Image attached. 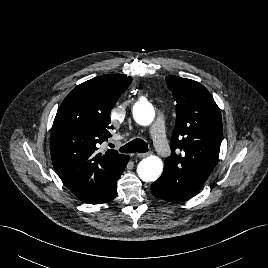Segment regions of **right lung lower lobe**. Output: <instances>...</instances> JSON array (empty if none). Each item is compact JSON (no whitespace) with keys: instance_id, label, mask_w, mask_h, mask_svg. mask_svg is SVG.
Masks as SVG:
<instances>
[{"instance_id":"98d812e1","label":"right lung lower lobe","mask_w":268,"mask_h":268,"mask_svg":"<svg viewBox=\"0 0 268 268\" xmlns=\"http://www.w3.org/2000/svg\"><path fill=\"white\" fill-rule=\"evenodd\" d=\"M128 161H129V157L126 159V161L124 162L121 169L115 175L109 188L94 204H102V203L110 202L116 197V182L119 179V177L121 176V174L123 173Z\"/></svg>"}]
</instances>
